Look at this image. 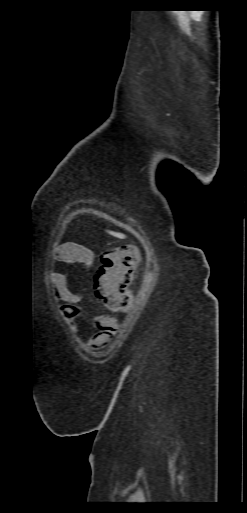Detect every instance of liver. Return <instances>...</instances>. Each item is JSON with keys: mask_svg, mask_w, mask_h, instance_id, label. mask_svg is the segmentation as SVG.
<instances>
[{"mask_svg": "<svg viewBox=\"0 0 247 513\" xmlns=\"http://www.w3.org/2000/svg\"><path fill=\"white\" fill-rule=\"evenodd\" d=\"M109 233L112 234V235H115V236H119V237L122 236L121 234H118V233H115V232H112V231H109Z\"/></svg>", "mask_w": 247, "mask_h": 513, "instance_id": "1", "label": "liver"}]
</instances>
